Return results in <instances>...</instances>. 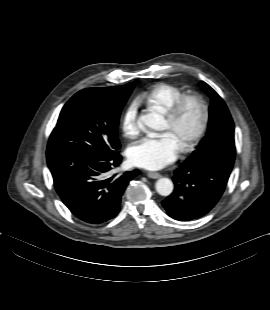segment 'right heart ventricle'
I'll return each instance as SVG.
<instances>
[{
    "instance_id": "right-heart-ventricle-1",
    "label": "right heart ventricle",
    "mask_w": 270,
    "mask_h": 310,
    "mask_svg": "<svg viewBox=\"0 0 270 310\" xmlns=\"http://www.w3.org/2000/svg\"><path fill=\"white\" fill-rule=\"evenodd\" d=\"M184 94L185 92L177 86L161 83L143 92L140 95V100L157 108L162 113H166Z\"/></svg>"
}]
</instances>
